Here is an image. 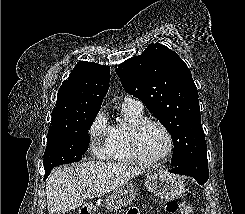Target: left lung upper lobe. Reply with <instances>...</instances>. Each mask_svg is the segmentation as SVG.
I'll return each mask as SVG.
<instances>
[{
    "mask_svg": "<svg viewBox=\"0 0 245 214\" xmlns=\"http://www.w3.org/2000/svg\"><path fill=\"white\" fill-rule=\"evenodd\" d=\"M123 88L142 100L171 134V163L178 166L207 153L198 91L190 69L178 54L156 43L116 68Z\"/></svg>",
    "mask_w": 245,
    "mask_h": 214,
    "instance_id": "5c2ea615",
    "label": "left lung upper lobe"
}]
</instances>
